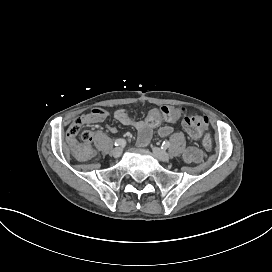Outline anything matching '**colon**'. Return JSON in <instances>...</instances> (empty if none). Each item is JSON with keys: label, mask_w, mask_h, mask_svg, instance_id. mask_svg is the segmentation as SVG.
<instances>
[{"label": "colon", "mask_w": 272, "mask_h": 272, "mask_svg": "<svg viewBox=\"0 0 272 272\" xmlns=\"http://www.w3.org/2000/svg\"><path fill=\"white\" fill-rule=\"evenodd\" d=\"M79 123L80 122L74 123L70 127L68 131L69 136L78 135ZM207 125L208 119L204 117L203 111L197 107L191 108L188 111L187 117H185L183 120L184 129L191 138L196 140L200 139L203 136L204 131L207 128ZM81 137L85 142H89L91 140V135L89 132H83L81 134ZM205 144L208 147L211 145L210 139L208 137L205 139Z\"/></svg>", "instance_id": "obj_1"}]
</instances>
